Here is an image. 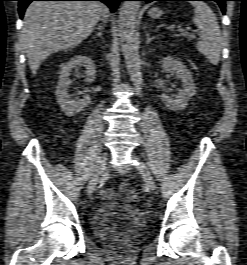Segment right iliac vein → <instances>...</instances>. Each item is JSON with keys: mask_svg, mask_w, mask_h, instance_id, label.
I'll list each match as a JSON object with an SVG mask.
<instances>
[{"mask_svg": "<svg viewBox=\"0 0 247 265\" xmlns=\"http://www.w3.org/2000/svg\"><path fill=\"white\" fill-rule=\"evenodd\" d=\"M106 156V153H102L98 158L94 174L87 186L88 193H92L95 190L96 184L105 169Z\"/></svg>", "mask_w": 247, "mask_h": 265, "instance_id": "1", "label": "right iliac vein"}]
</instances>
